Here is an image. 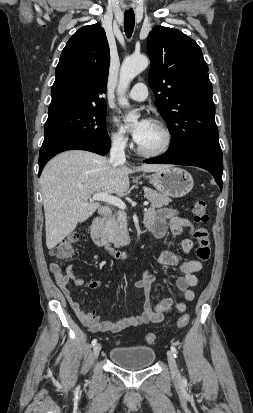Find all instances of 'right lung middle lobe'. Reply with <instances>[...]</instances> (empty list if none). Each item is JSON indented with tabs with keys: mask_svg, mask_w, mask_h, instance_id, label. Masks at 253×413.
Segmentation results:
<instances>
[{
	"mask_svg": "<svg viewBox=\"0 0 253 413\" xmlns=\"http://www.w3.org/2000/svg\"><path fill=\"white\" fill-rule=\"evenodd\" d=\"M105 117L106 106L72 109L48 115L42 145L64 139L103 138L108 135Z\"/></svg>",
	"mask_w": 253,
	"mask_h": 413,
	"instance_id": "obj_1",
	"label": "right lung middle lobe"
}]
</instances>
